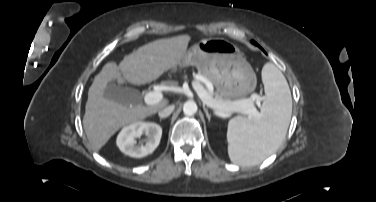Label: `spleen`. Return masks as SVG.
Wrapping results in <instances>:
<instances>
[{
  "mask_svg": "<svg viewBox=\"0 0 376 202\" xmlns=\"http://www.w3.org/2000/svg\"><path fill=\"white\" fill-rule=\"evenodd\" d=\"M266 99L259 117L232 118L227 142L230 160L242 166L255 165L274 153L283 142L292 114V98L282 72L273 64L262 68Z\"/></svg>",
  "mask_w": 376,
  "mask_h": 202,
  "instance_id": "3e777b00",
  "label": "spleen"
}]
</instances>
